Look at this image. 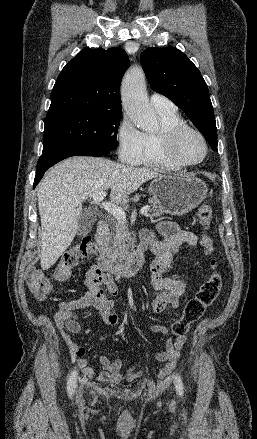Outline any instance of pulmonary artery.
<instances>
[{
	"label": "pulmonary artery",
	"instance_id": "pulmonary-artery-1",
	"mask_svg": "<svg viewBox=\"0 0 257 439\" xmlns=\"http://www.w3.org/2000/svg\"><path fill=\"white\" fill-rule=\"evenodd\" d=\"M151 104L157 112H173L176 111L175 104L167 97L154 93L150 97Z\"/></svg>",
	"mask_w": 257,
	"mask_h": 439
}]
</instances>
